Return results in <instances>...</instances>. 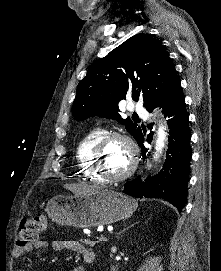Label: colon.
<instances>
[{
    "label": "colon",
    "instance_id": "5ec220e1",
    "mask_svg": "<svg viewBox=\"0 0 221 271\" xmlns=\"http://www.w3.org/2000/svg\"><path fill=\"white\" fill-rule=\"evenodd\" d=\"M48 219L45 213L40 212L35 217L25 219L19 230L17 245L20 248L26 247L29 243L37 239L40 233L47 229Z\"/></svg>",
    "mask_w": 221,
    "mask_h": 271
}]
</instances>
